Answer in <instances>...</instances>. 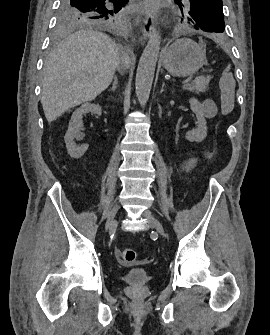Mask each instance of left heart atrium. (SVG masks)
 <instances>
[{
	"label": "left heart atrium",
	"mask_w": 270,
	"mask_h": 335,
	"mask_svg": "<svg viewBox=\"0 0 270 335\" xmlns=\"http://www.w3.org/2000/svg\"><path fill=\"white\" fill-rule=\"evenodd\" d=\"M159 4L156 0H145L139 4V12L147 17L154 18L158 13Z\"/></svg>",
	"instance_id": "left-heart-atrium-1"
}]
</instances>
